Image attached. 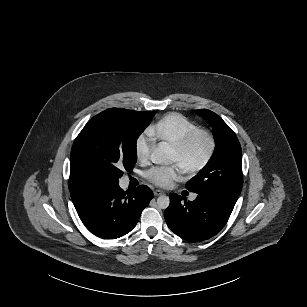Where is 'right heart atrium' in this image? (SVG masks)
I'll use <instances>...</instances> for the list:
<instances>
[{"label":"right heart atrium","mask_w":307,"mask_h":307,"mask_svg":"<svg viewBox=\"0 0 307 307\" xmlns=\"http://www.w3.org/2000/svg\"><path fill=\"white\" fill-rule=\"evenodd\" d=\"M155 150V144L147 135L140 136L134 145V153L138 162L147 163Z\"/></svg>","instance_id":"right-heart-atrium-1"}]
</instances>
